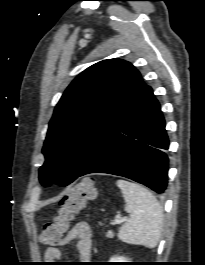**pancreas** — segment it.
<instances>
[{"instance_id": "1", "label": "pancreas", "mask_w": 205, "mask_h": 265, "mask_svg": "<svg viewBox=\"0 0 205 265\" xmlns=\"http://www.w3.org/2000/svg\"><path fill=\"white\" fill-rule=\"evenodd\" d=\"M106 236H107L108 238H113L114 234H113V232L109 231V232L106 234Z\"/></svg>"}]
</instances>
